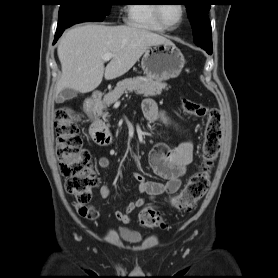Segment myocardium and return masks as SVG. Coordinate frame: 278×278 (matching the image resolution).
I'll return each mask as SVG.
<instances>
[{
	"label": "myocardium",
	"mask_w": 278,
	"mask_h": 278,
	"mask_svg": "<svg viewBox=\"0 0 278 278\" xmlns=\"http://www.w3.org/2000/svg\"><path fill=\"white\" fill-rule=\"evenodd\" d=\"M181 6V10H182V13H181V18L179 20V22L176 24V25H169L168 23L165 22V20L163 19L162 17V14H161V8H162V5L160 4H156L154 6V16L157 20V22L164 28V29H167V30H174L176 28H178L182 22L184 21L185 17H186V13H187V8L184 4H180Z\"/></svg>",
	"instance_id": "myocardium-1"
}]
</instances>
